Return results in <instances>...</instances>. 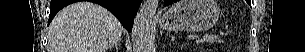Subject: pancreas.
<instances>
[{
    "label": "pancreas",
    "mask_w": 305,
    "mask_h": 52,
    "mask_svg": "<svg viewBox=\"0 0 305 52\" xmlns=\"http://www.w3.org/2000/svg\"><path fill=\"white\" fill-rule=\"evenodd\" d=\"M202 42H208V43H220L221 42V38L213 35V34H209V35H205L202 39Z\"/></svg>",
    "instance_id": "pancreas-1"
}]
</instances>
